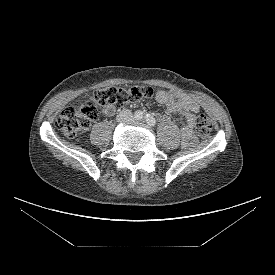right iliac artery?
<instances>
[{
  "label": "right iliac artery",
  "instance_id": "right-iliac-artery-1",
  "mask_svg": "<svg viewBox=\"0 0 275 275\" xmlns=\"http://www.w3.org/2000/svg\"><path fill=\"white\" fill-rule=\"evenodd\" d=\"M143 113L141 112V111H137L136 113H135V118L137 119V120H142L143 119Z\"/></svg>",
  "mask_w": 275,
  "mask_h": 275
}]
</instances>
